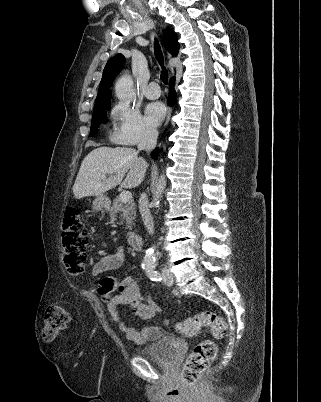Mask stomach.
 Masks as SVG:
<instances>
[{
	"label": "stomach",
	"instance_id": "stomach-1",
	"mask_svg": "<svg viewBox=\"0 0 321 402\" xmlns=\"http://www.w3.org/2000/svg\"><path fill=\"white\" fill-rule=\"evenodd\" d=\"M108 203H109V200L106 196L99 195L94 199L92 206L95 211H100L103 208H105L108 205Z\"/></svg>",
	"mask_w": 321,
	"mask_h": 402
}]
</instances>
